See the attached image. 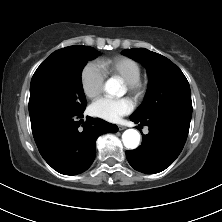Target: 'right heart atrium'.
Segmentation results:
<instances>
[{
    "mask_svg": "<svg viewBox=\"0 0 222 222\" xmlns=\"http://www.w3.org/2000/svg\"><path fill=\"white\" fill-rule=\"evenodd\" d=\"M105 77L106 75L99 63L88 62L80 74V83L84 94L88 98L98 96L103 90Z\"/></svg>",
    "mask_w": 222,
    "mask_h": 222,
    "instance_id": "d8ad5b80",
    "label": "right heart atrium"
}]
</instances>
